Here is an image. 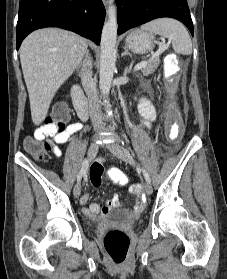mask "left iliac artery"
<instances>
[{"instance_id":"1","label":"left iliac artery","mask_w":227,"mask_h":279,"mask_svg":"<svg viewBox=\"0 0 227 279\" xmlns=\"http://www.w3.org/2000/svg\"><path fill=\"white\" fill-rule=\"evenodd\" d=\"M121 143H122V145H124V142H123V141H122ZM143 174H144L145 180H146L148 183H150L151 180H150L149 174H148V172H147L145 169H143Z\"/></svg>"}]
</instances>
